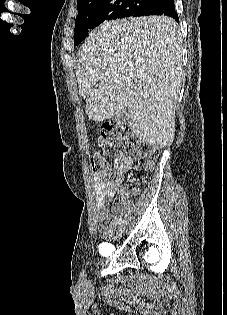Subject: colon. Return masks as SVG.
Segmentation results:
<instances>
[{
    "label": "colon",
    "instance_id": "5ec220e1",
    "mask_svg": "<svg viewBox=\"0 0 227 315\" xmlns=\"http://www.w3.org/2000/svg\"><path fill=\"white\" fill-rule=\"evenodd\" d=\"M98 144L101 153H95L91 159L92 170L99 176H109V158L119 151L133 156L134 161L144 169H152L157 150L139 139L129 127L120 123H109L102 127Z\"/></svg>",
    "mask_w": 227,
    "mask_h": 315
}]
</instances>
